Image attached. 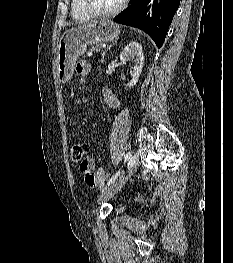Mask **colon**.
<instances>
[{
    "instance_id": "1",
    "label": "colon",
    "mask_w": 233,
    "mask_h": 263,
    "mask_svg": "<svg viewBox=\"0 0 233 263\" xmlns=\"http://www.w3.org/2000/svg\"><path fill=\"white\" fill-rule=\"evenodd\" d=\"M88 149V145L85 143H75L70 148V157L74 163L79 164L80 167L83 168L85 180L87 181V183L90 185H94L96 182V177L92 172L86 169V156L88 153ZM101 178L105 181L108 176L104 172V174L101 175Z\"/></svg>"
}]
</instances>
